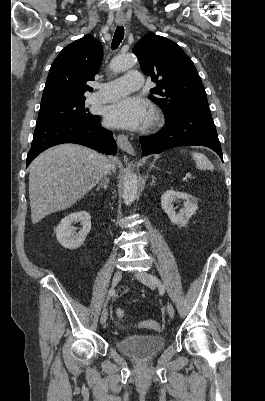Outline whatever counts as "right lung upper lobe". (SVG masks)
<instances>
[{
  "mask_svg": "<svg viewBox=\"0 0 265 401\" xmlns=\"http://www.w3.org/2000/svg\"><path fill=\"white\" fill-rule=\"evenodd\" d=\"M102 57V45L91 35H85L66 46L51 65L41 104L82 98L85 91H92L85 83L94 80Z\"/></svg>",
  "mask_w": 265,
  "mask_h": 401,
  "instance_id": "right-lung-upper-lobe-1",
  "label": "right lung upper lobe"
}]
</instances>
